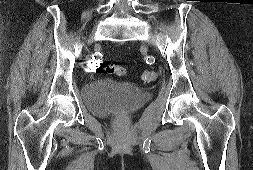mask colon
<instances>
[{"label": "colon", "mask_w": 253, "mask_h": 170, "mask_svg": "<svg viewBox=\"0 0 253 170\" xmlns=\"http://www.w3.org/2000/svg\"><path fill=\"white\" fill-rule=\"evenodd\" d=\"M100 70L107 74H113L117 76H124L126 74L124 67L115 64L103 63L100 67ZM141 79L147 83L153 82L157 79V73L154 70L146 69L142 72Z\"/></svg>", "instance_id": "obj_1"}]
</instances>
